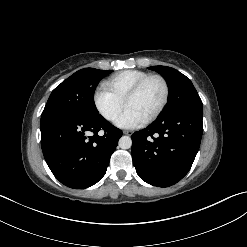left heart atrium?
I'll return each instance as SVG.
<instances>
[{
  "label": "left heart atrium",
  "mask_w": 247,
  "mask_h": 247,
  "mask_svg": "<svg viewBox=\"0 0 247 247\" xmlns=\"http://www.w3.org/2000/svg\"><path fill=\"white\" fill-rule=\"evenodd\" d=\"M146 118L136 109L126 106L124 111L118 117L116 124L123 128H135L143 125Z\"/></svg>",
  "instance_id": "obj_1"
}]
</instances>
